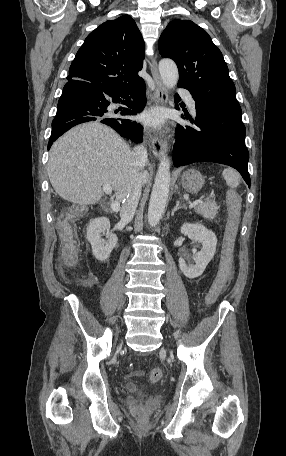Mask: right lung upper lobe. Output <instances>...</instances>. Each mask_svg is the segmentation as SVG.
Masks as SVG:
<instances>
[{
    "mask_svg": "<svg viewBox=\"0 0 286 456\" xmlns=\"http://www.w3.org/2000/svg\"><path fill=\"white\" fill-rule=\"evenodd\" d=\"M144 41L129 15L109 20L92 31L78 50L67 80L87 82L105 91L142 81Z\"/></svg>",
    "mask_w": 286,
    "mask_h": 456,
    "instance_id": "obj_1",
    "label": "right lung upper lobe"
}]
</instances>
